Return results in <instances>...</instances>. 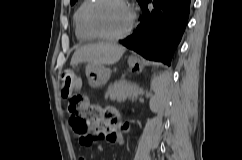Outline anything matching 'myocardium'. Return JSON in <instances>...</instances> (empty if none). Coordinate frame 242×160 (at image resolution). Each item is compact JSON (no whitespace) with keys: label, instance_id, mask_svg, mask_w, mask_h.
<instances>
[{"label":"myocardium","instance_id":"f54148a6","mask_svg":"<svg viewBox=\"0 0 242 160\" xmlns=\"http://www.w3.org/2000/svg\"><path fill=\"white\" fill-rule=\"evenodd\" d=\"M102 0H91L90 3L88 4L85 13H84V23L88 31L94 35L96 38L107 40V41H118L121 40L125 37H127L130 32L132 31L136 18H137V13L135 8L132 6V4L129 2V0H121L130 10V20L129 23L126 27V29L121 32L120 34L117 35H108L105 33L100 32L95 25L93 24L92 21V12L96 5L100 3Z\"/></svg>","mask_w":242,"mask_h":160}]
</instances>
